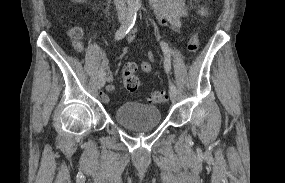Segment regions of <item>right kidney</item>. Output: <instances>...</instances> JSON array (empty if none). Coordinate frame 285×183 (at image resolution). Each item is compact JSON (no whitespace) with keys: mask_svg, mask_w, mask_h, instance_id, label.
<instances>
[{"mask_svg":"<svg viewBox=\"0 0 285 183\" xmlns=\"http://www.w3.org/2000/svg\"><path fill=\"white\" fill-rule=\"evenodd\" d=\"M72 2H75V3H82L84 2L85 0H71Z\"/></svg>","mask_w":285,"mask_h":183,"instance_id":"ca27d5eb","label":"right kidney"}]
</instances>
